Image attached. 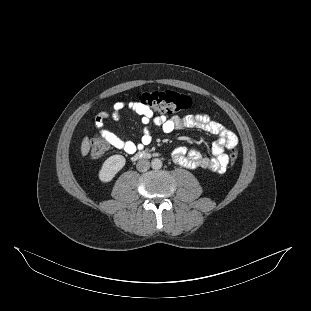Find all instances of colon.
<instances>
[{
    "instance_id": "1",
    "label": "colon",
    "mask_w": 311,
    "mask_h": 311,
    "mask_svg": "<svg viewBox=\"0 0 311 311\" xmlns=\"http://www.w3.org/2000/svg\"><path fill=\"white\" fill-rule=\"evenodd\" d=\"M139 101L149 108L164 114H174L191 107L192 99L184 94L174 91H153L142 93ZM109 149V142L104 137L92 141L90 156L93 159L102 157ZM238 158L237 150L232 147L229 153L230 165L235 164Z\"/></svg>"
}]
</instances>
